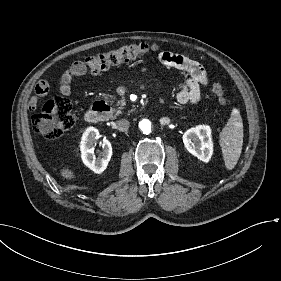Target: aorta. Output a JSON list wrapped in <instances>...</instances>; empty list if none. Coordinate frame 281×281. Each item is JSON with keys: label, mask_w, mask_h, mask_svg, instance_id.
I'll return each mask as SVG.
<instances>
[{"label": "aorta", "mask_w": 281, "mask_h": 281, "mask_svg": "<svg viewBox=\"0 0 281 281\" xmlns=\"http://www.w3.org/2000/svg\"><path fill=\"white\" fill-rule=\"evenodd\" d=\"M139 126L144 134H149L151 132V122L149 120H142Z\"/></svg>", "instance_id": "1"}]
</instances>
